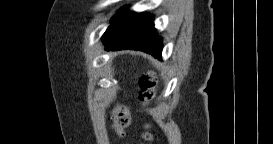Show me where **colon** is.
<instances>
[{"mask_svg":"<svg viewBox=\"0 0 273 144\" xmlns=\"http://www.w3.org/2000/svg\"><path fill=\"white\" fill-rule=\"evenodd\" d=\"M156 91V77L154 74H148L144 77L141 83L140 98L142 101H148L153 98ZM129 123V115L127 111L123 108H119L114 113V123L113 127L118 134L122 135L124 128ZM149 139L150 136L146 135Z\"/></svg>","mask_w":273,"mask_h":144,"instance_id":"obj_1","label":"colon"}]
</instances>
